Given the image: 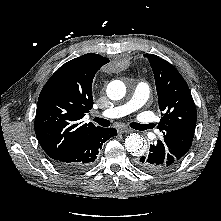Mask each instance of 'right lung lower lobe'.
Returning <instances> with one entry per match:
<instances>
[{
  "mask_svg": "<svg viewBox=\"0 0 221 221\" xmlns=\"http://www.w3.org/2000/svg\"><path fill=\"white\" fill-rule=\"evenodd\" d=\"M116 135L117 131L114 128L98 127L53 161L61 169L70 172L88 169L98 158L103 143Z\"/></svg>",
  "mask_w": 221,
  "mask_h": 221,
  "instance_id": "obj_1",
  "label": "right lung lower lobe"
}]
</instances>
